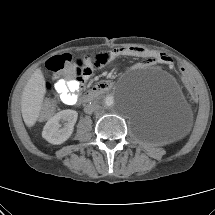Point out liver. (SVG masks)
<instances>
[{"label": "liver", "mask_w": 215, "mask_h": 215, "mask_svg": "<svg viewBox=\"0 0 215 215\" xmlns=\"http://www.w3.org/2000/svg\"><path fill=\"white\" fill-rule=\"evenodd\" d=\"M45 93L46 82L44 76L40 69H36L24 87L21 97L22 117L28 127H32L36 123Z\"/></svg>", "instance_id": "liver-1"}]
</instances>
